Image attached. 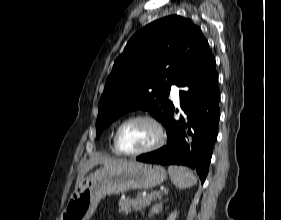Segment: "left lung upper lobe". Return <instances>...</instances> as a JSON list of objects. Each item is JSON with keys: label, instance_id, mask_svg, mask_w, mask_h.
<instances>
[{"label": "left lung upper lobe", "instance_id": "5c2ea615", "mask_svg": "<svg viewBox=\"0 0 281 220\" xmlns=\"http://www.w3.org/2000/svg\"><path fill=\"white\" fill-rule=\"evenodd\" d=\"M209 49L190 19L171 15L154 21L128 41L116 59L99 101L97 138L122 114L143 109L165 125L174 106L167 98L192 62Z\"/></svg>", "mask_w": 281, "mask_h": 220}]
</instances>
